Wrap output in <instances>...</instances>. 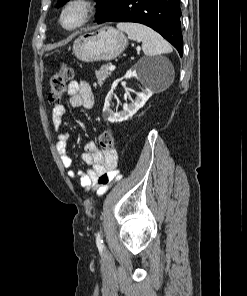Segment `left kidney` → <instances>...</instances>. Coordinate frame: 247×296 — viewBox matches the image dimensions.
<instances>
[{"label": "left kidney", "instance_id": "5707ae66", "mask_svg": "<svg viewBox=\"0 0 247 296\" xmlns=\"http://www.w3.org/2000/svg\"><path fill=\"white\" fill-rule=\"evenodd\" d=\"M170 66L169 62L165 59H141L134 67L130 69L126 75L125 79H130L132 77L137 78L142 84L146 86L145 90L138 93L136 99L131 101L129 104L123 105V111L114 112L110 108L112 97L114 94V89L118 85L119 80H116L111 88V91L107 94L105 98L103 116L111 123L122 122L131 118L140 108H142L148 99L153 95L152 86L154 84V79L157 78L158 74L162 69L168 68Z\"/></svg>", "mask_w": 247, "mask_h": 296}]
</instances>
